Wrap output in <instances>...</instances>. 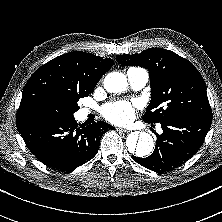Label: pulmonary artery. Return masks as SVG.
<instances>
[{
	"label": "pulmonary artery",
	"instance_id": "e3ab8cb5",
	"mask_svg": "<svg viewBox=\"0 0 222 222\" xmlns=\"http://www.w3.org/2000/svg\"><path fill=\"white\" fill-rule=\"evenodd\" d=\"M127 77L132 88L135 90H140L146 85L149 78V74L147 70L143 68L133 67L128 69ZM83 112L84 114H87L88 110L84 109Z\"/></svg>",
	"mask_w": 222,
	"mask_h": 222
}]
</instances>
